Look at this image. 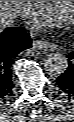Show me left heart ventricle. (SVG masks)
Wrapping results in <instances>:
<instances>
[{
	"instance_id": "left-heart-ventricle-1",
	"label": "left heart ventricle",
	"mask_w": 74,
	"mask_h": 122,
	"mask_svg": "<svg viewBox=\"0 0 74 122\" xmlns=\"http://www.w3.org/2000/svg\"><path fill=\"white\" fill-rule=\"evenodd\" d=\"M74 1H52L51 11L54 15L67 18L71 13Z\"/></svg>"
}]
</instances>
